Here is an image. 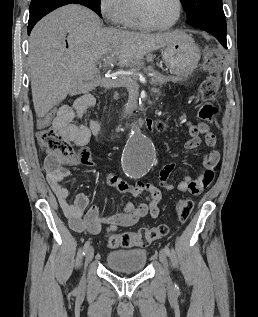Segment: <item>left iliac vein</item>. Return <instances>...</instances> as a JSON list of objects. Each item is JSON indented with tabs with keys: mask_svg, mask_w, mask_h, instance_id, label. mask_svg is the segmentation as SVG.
I'll return each instance as SVG.
<instances>
[{
	"mask_svg": "<svg viewBox=\"0 0 258 317\" xmlns=\"http://www.w3.org/2000/svg\"><path fill=\"white\" fill-rule=\"evenodd\" d=\"M160 258H159V261L162 263V266L166 269V273L168 272L167 269L169 268V263H168V260L166 259V254H165V249H160ZM169 272L167 273V277L169 276Z\"/></svg>",
	"mask_w": 258,
	"mask_h": 317,
	"instance_id": "4c4485c4",
	"label": "left iliac vein"
}]
</instances>
